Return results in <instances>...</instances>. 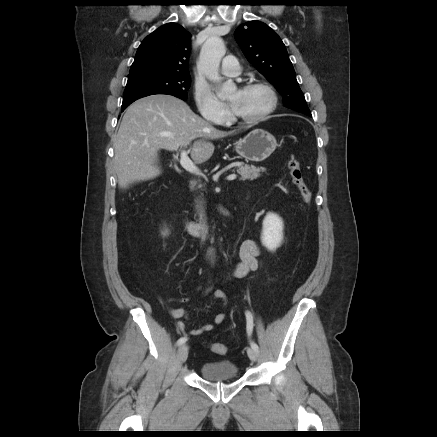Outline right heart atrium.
<instances>
[{"instance_id": "d8ad5b80", "label": "right heart atrium", "mask_w": 437, "mask_h": 437, "mask_svg": "<svg viewBox=\"0 0 437 437\" xmlns=\"http://www.w3.org/2000/svg\"><path fill=\"white\" fill-rule=\"evenodd\" d=\"M194 100L200 115L209 121L219 123L228 116L226 105L203 85L195 86Z\"/></svg>"}]
</instances>
